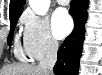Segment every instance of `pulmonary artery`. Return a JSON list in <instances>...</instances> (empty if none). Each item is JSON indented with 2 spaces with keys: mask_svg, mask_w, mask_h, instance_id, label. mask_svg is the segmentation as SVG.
Returning a JSON list of instances; mask_svg holds the SVG:
<instances>
[{
  "mask_svg": "<svg viewBox=\"0 0 102 75\" xmlns=\"http://www.w3.org/2000/svg\"><path fill=\"white\" fill-rule=\"evenodd\" d=\"M58 2L63 4V3H65L66 1H65V0H58Z\"/></svg>",
  "mask_w": 102,
  "mask_h": 75,
  "instance_id": "obj_1",
  "label": "pulmonary artery"
}]
</instances>
